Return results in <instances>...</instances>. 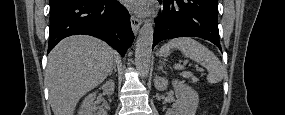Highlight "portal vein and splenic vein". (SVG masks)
<instances>
[{
  "instance_id": "18ae733b",
  "label": "portal vein and splenic vein",
  "mask_w": 285,
  "mask_h": 115,
  "mask_svg": "<svg viewBox=\"0 0 285 115\" xmlns=\"http://www.w3.org/2000/svg\"><path fill=\"white\" fill-rule=\"evenodd\" d=\"M183 64H184V65H187V64H188V61H187V60H185V61L183 62Z\"/></svg>"
}]
</instances>
